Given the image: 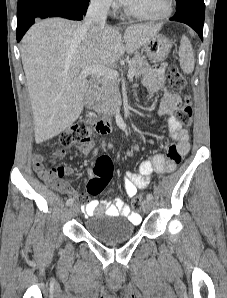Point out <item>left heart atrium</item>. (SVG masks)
<instances>
[{
    "instance_id": "1",
    "label": "left heart atrium",
    "mask_w": 227,
    "mask_h": 298,
    "mask_svg": "<svg viewBox=\"0 0 227 298\" xmlns=\"http://www.w3.org/2000/svg\"><path fill=\"white\" fill-rule=\"evenodd\" d=\"M121 3L126 4L128 0H119Z\"/></svg>"
}]
</instances>
